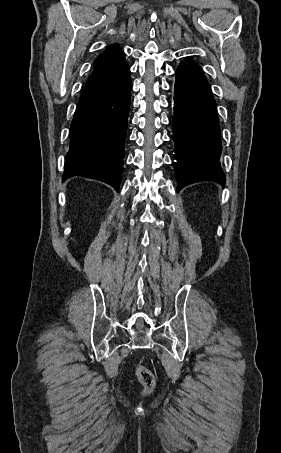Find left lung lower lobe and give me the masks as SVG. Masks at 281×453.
<instances>
[{
	"instance_id": "left-lung-lower-lobe-1",
	"label": "left lung lower lobe",
	"mask_w": 281,
	"mask_h": 453,
	"mask_svg": "<svg viewBox=\"0 0 281 453\" xmlns=\"http://www.w3.org/2000/svg\"><path fill=\"white\" fill-rule=\"evenodd\" d=\"M173 140L178 191L201 181L225 185L216 103L203 71L190 60L176 71Z\"/></svg>"
}]
</instances>
